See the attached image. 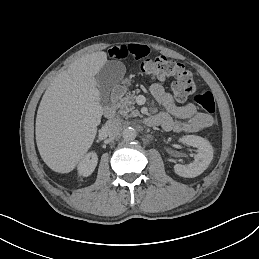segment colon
<instances>
[{
  "instance_id": "colon-1",
  "label": "colon",
  "mask_w": 259,
  "mask_h": 259,
  "mask_svg": "<svg viewBox=\"0 0 259 259\" xmlns=\"http://www.w3.org/2000/svg\"><path fill=\"white\" fill-rule=\"evenodd\" d=\"M142 71L160 80L171 79L173 90L178 100H183L195 91V82L192 74L184 65L159 56L146 60L141 65ZM194 101L208 114L215 112V100L210 91H199L194 96Z\"/></svg>"
}]
</instances>
